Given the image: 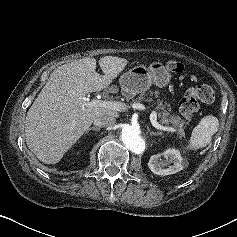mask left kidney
Listing matches in <instances>:
<instances>
[{
    "label": "left kidney",
    "mask_w": 237,
    "mask_h": 237,
    "mask_svg": "<svg viewBox=\"0 0 237 237\" xmlns=\"http://www.w3.org/2000/svg\"><path fill=\"white\" fill-rule=\"evenodd\" d=\"M162 155L165 159L161 158ZM171 163L173 165H169ZM148 166L154 174L161 176L175 174L184 168L181 154L174 148L168 149L164 154L151 156Z\"/></svg>",
    "instance_id": "1"
}]
</instances>
